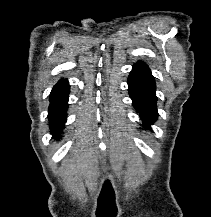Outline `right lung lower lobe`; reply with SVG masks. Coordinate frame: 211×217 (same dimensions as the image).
<instances>
[{"label": "right lung lower lobe", "instance_id": "1", "mask_svg": "<svg viewBox=\"0 0 211 217\" xmlns=\"http://www.w3.org/2000/svg\"><path fill=\"white\" fill-rule=\"evenodd\" d=\"M69 89L68 81L63 79L58 81L50 93L49 127L53 138L58 140L62 137L64 124L67 120L66 111L68 109Z\"/></svg>", "mask_w": 211, "mask_h": 217}]
</instances>
